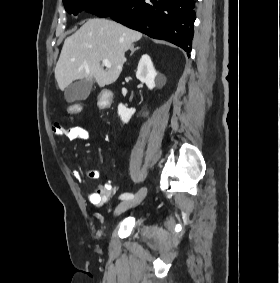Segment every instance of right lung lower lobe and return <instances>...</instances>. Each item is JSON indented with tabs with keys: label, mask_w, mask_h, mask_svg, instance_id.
I'll list each match as a JSON object with an SVG mask.
<instances>
[{
	"label": "right lung lower lobe",
	"mask_w": 280,
	"mask_h": 283,
	"mask_svg": "<svg viewBox=\"0 0 280 283\" xmlns=\"http://www.w3.org/2000/svg\"><path fill=\"white\" fill-rule=\"evenodd\" d=\"M194 8L195 0H130L110 17L152 38L169 41L189 53L196 19Z\"/></svg>",
	"instance_id": "right-lung-lower-lobe-1"
}]
</instances>
